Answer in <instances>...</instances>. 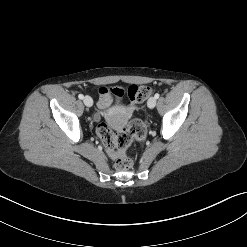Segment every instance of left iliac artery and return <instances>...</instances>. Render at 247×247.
<instances>
[{"mask_svg": "<svg viewBox=\"0 0 247 247\" xmlns=\"http://www.w3.org/2000/svg\"><path fill=\"white\" fill-rule=\"evenodd\" d=\"M159 96H160L159 93H156L154 97H155L156 99H158Z\"/></svg>", "mask_w": 247, "mask_h": 247, "instance_id": "left-iliac-artery-1", "label": "left iliac artery"}]
</instances>
